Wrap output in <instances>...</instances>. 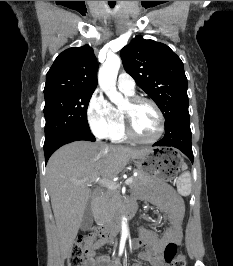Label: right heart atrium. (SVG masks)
<instances>
[{
  "mask_svg": "<svg viewBox=\"0 0 233 266\" xmlns=\"http://www.w3.org/2000/svg\"><path fill=\"white\" fill-rule=\"evenodd\" d=\"M86 116L91 131L98 138H111L120 129L114 107L100 90H95L91 95Z\"/></svg>",
  "mask_w": 233,
  "mask_h": 266,
  "instance_id": "1",
  "label": "right heart atrium"
}]
</instances>
